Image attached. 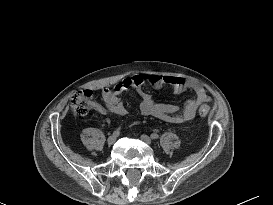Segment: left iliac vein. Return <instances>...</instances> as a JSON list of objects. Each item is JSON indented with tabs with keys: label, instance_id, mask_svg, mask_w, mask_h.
<instances>
[{
	"label": "left iliac vein",
	"instance_id": "4c4485c4",
	"mask_svg": "<svg viewBox=\"0 0 273 205\" xmlns=\"http://www.w3.org/2000/svg\"><path fill=\"white\" fill-rule=\"evenodd\" d=\"M141 140L144 142V143H146V144H148V145H150L151 144V139H150V137L149 136H147V135H141Z\"/></svg>",
	"mask_w": 273,
	"mask_h": 205
}]
</instances>
